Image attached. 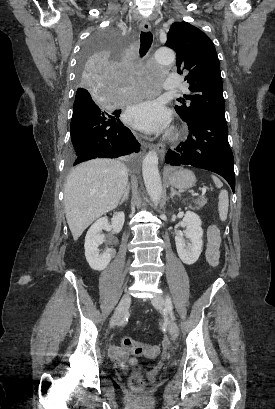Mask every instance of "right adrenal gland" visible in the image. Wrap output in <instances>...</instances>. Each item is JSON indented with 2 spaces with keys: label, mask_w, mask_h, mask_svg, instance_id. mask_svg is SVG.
I'll list each match as a JSON object with an SVG mask.
<instances>
[{
  "label": "right adrenal gland",
  "mask_w": 275,
  "mask_h": 409,
  "mask_svg": "<svg viewBox=\"0 0 275 409\" xmlns=\"http://www.w3.org/2000/svg\"><path fill=\"white\" fill-rule=\"evenodd\" d=\"M130 186H131L130 182H127L125 192H124V194H122V198H121V200L119 202V205H122V202H124V200H127L128 196H129Z\"/></svg>",
  "instance_id": "1"
}]
</instances>
